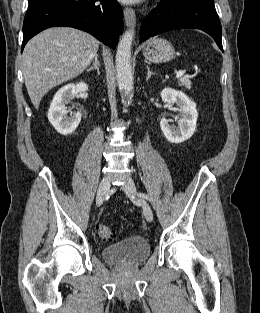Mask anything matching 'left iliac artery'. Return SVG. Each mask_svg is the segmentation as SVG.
<instances>
[{"label": "left iliac artery", "mask_w": 260, "mask_h": 313, "mask_svg": "<svg viewBox=\"0 0 260 313\" xmlns=\"http://www.w3.org/2000/svg\"><path fill=\"white\" fill-rule=\"evenodd\" d=\"M139 196H141V197H143V198H145V199L150 201V198H149V196L146 193H140Z\"/></svg>", "instance_id": "44dca946"}]
</instances>
